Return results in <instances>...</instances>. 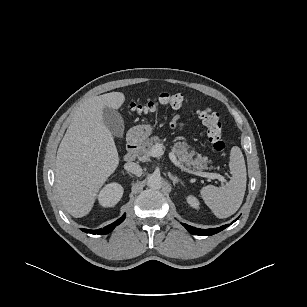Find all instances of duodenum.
Instances as JSON below:
<instances>
[{"mask_svg": "<svg viewBox=\"0 0 307 307\" xmlns=\"http://www.w3.org/2000/svg\"><path fill=\"white\" fill-rule=\"evenodd\" d=\"M140 142V135L137 133L131 134L127 140V151L124 155V160L132 162L135 160Z\"/></svg>", "mask_w": 307, "mask_h": 307, "instance_id": "duodenum-1", "label": "duodenum"}]
</instances>
